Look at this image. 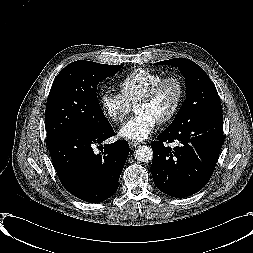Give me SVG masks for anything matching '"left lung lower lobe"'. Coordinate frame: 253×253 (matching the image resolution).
Masks as SVG:
<instances>
[{"label": "left lung lower lobe", "instance_id": "1", "mask_svg": "<svg viewBox=\"0 0 253 253\" xmlns=\"http://www.w3.org/2000/svg\"><path fill=\"white\" fill-rule=\"evenodd\" d=\"M151 143L152 177L155 186L175 198H184L201 190L209 181L223 142V115L188 121L165 129ZM179 141L170 148L164 142Z\"/></svg>", "mask_w": 253, "mask_h": 253}]
</instances>
